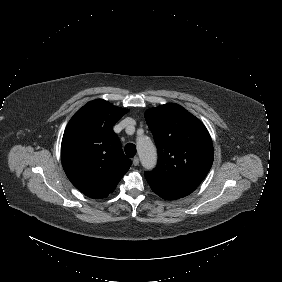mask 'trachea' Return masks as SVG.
I'll return each mask as SVG.
<instances>
[{
  "label": "trachea",
  "mask_w": 282,
  "mask_h": 282,
  "mask_svg": "<svg viewBox=\"0 0 282 282\" xmlns=\"http://www.w3.org/2000/svg\"><path fill=\"white\" fill-rule=\"evenodd\" d=\"M125 153L129 158L134 157V155L136 154V146L133 143H128L125 146Z\"/></svg>",
  "instance_id": "obj_1"
}]
</instances>
